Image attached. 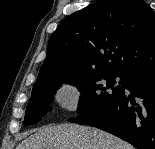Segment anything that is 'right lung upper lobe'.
<instances>
[{
	"label": "right lung upper lobe",
	"instance_id": "cb5924a9",
	"mask_svg": "<svg viewBox=\"0 0 155 149\" xmlns=\"http://www.w3.org/2000/svg\"><path fill=\"white\" fill-rule=\"evenodd\" d=\"M155 67V15L143 0H99L62 21L37 81L64 72L126 75Z\"/></svg>",
	"mask_w": 155,
	"mask_h": 149
}]
</instances>
